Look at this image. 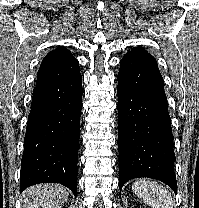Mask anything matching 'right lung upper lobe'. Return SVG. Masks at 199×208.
<instances>
[{
	"mask_svg": "<svg viewBox=\"0 0 199 208\" xmlns=\"http://www.w3.org/2000/svg\"><path fill=\"white\" fill-rule=\"evenodd\" d=\"M79 74L78 60L65 47L59 46L43 59L37 74L36 87L58 83Z\"/></svg>",
	"mask_w": 199,
	"mask_h": 208,
	"instance_id": "obj_1",
	"label": "right lung upper lobe"
}]
</instances>
